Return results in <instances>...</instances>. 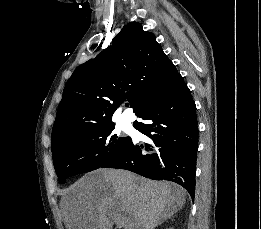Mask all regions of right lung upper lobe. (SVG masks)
Instances as JSON below:
<instances>
[{
	"label": "right lung upper lobe",
	"instance_id": "right-lung-upper-lobe-1",
	"mask_svg": "<svg viewBox=\"0 0 261 229\" xmlns=\"http://www.w3.org/2000/svg\"><path fill=\"white\" fill-rule=\"evenodd\" d=\"M180 78L153 33L143 31L138 22L125 25L111 46L80 65L67 81L52 129L51 150L75 128L115 125L112 116L125 99L140 117Z\"/></svg>",
	"mask_w": 261,
	"mask_h": 229
}]
</instances>
